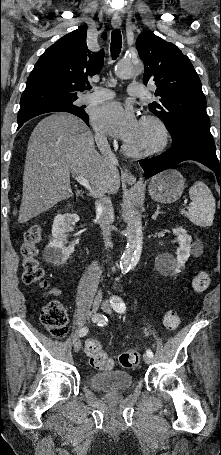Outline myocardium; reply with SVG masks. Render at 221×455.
<instances>
[{
    "mask_svg": "<svg viewBox=\"0 0 221 455\" xmlns=\"http://www.w3.org/2000/svg\"><path fill=\"white\" fill-rule=\"evenodd\" d=\"M140 124L151 126L156 135V139L153 143L137 147L128 142L124 143V151L135 157L149 156L163 151L169 140V132L164 121L156 115H145L142 117Z\"/></svg>",
    "mask_w": 221,
    "mask_h": 455,
    "instance_id": "obj_1",
    "label": "myocardium"
}]
</instances>
